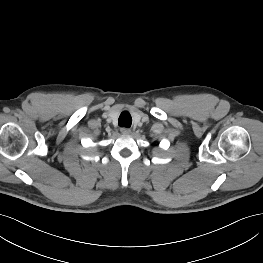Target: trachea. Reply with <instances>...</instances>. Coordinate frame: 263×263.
<instances>
[{"mask_svg":"<svg viewBox=\"0 0 263 263\" xmlns=\"http://www.w3.org/2000/svg\"><path fill=\"white\" fill-rule=\"evenodd\" d=\"M118 122H119V125L122 127H130L132 124V118L129 112L127 111L122 112L120 114Z\"/></svg>","mask_w":263,"mask_h":263,"instance_id":"trachea-1","label":"trachea"}]
</instances>
